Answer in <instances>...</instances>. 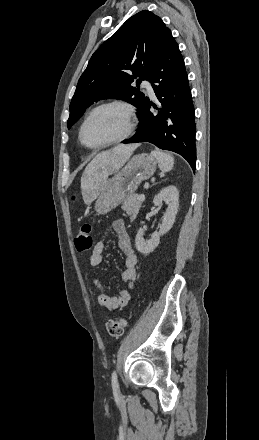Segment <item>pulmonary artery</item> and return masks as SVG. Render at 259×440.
I'll return each mask as SVG.
<instances>
[{
	"instance_id": "obj_1",
	"label": "pulmonary artery",
	"mask_w": 259,
	"mask_h": 440,
	"mask_svg": "<svg viewBox=\"0 0 259 440\" xmlns=\"http://www.w3.org/2000/svg\"><path fill=\"white\" fill-rule=\"evenodd\" d=\"M142 87L145 88L147 90V92L149 93L150 96L154 97L155 93L152 87V83L148 80H144L142 82Z\"/></svg>"
}]
</instances>
